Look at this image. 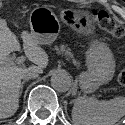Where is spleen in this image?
<instances>
[{
    "instance_id": "1",
    "label": "spleen",
    "mask_w": 125,
    "mask_h": 125,
    "mask_svg": "<svg viewBox=\"0 0 125 125\" xmlns=\"http://www.w3.org/2000/svg\"><path fill=\"white\" fill-rule=\"evenodd\" d=\"M125 115V97L97 100L79 96L72 109L74 125H114Z\"/></svg>"
}]
</instances>
